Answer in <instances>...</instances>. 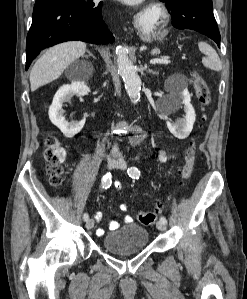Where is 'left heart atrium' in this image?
<instances>
[{"instance_id": "obj_1", "label": "left heart atrium", "mask_w": 247, "mask_h": 299, "mask_svg": "<svg viewBox=\"0 0 247 299\" xmlns=\"http://www.w3.org/2000/svg\"><path fill=\"white\" fill-rule=\"evenodd\" d=\"M121 1H125V2H128V3H137L140 0H121Z\"/></svg>"}]
</instances>
